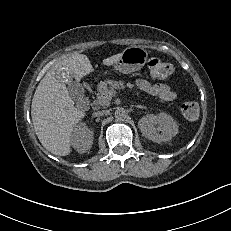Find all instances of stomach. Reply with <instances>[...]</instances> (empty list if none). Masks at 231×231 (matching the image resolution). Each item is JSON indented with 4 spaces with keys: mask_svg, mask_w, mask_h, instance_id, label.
Masks as SVG:
<instances>
[{
    "mask_svg": "<svg viewBox=\"0 0 231 231\" xmlns=\"http://www.w3.org/2000/svg\"><path fill=\"white\" fill-rule=\"evenodd\" d=\"M148 52L141 46L126 48L120 59L113 64L114 69L124 74L139 71L146 63Z\"/></svg>",
    "mask_w": 231,
    "mask_h": 231,
    "instance_id": "0dacf381",
    "label": "stomach"
}]
</instances>
